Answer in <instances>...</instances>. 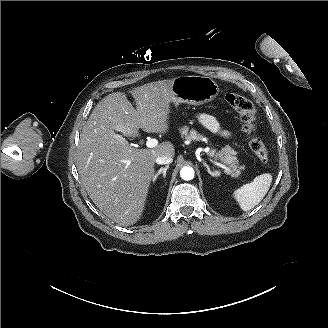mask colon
I'll list each match as a JSON object with an SVG mask.
<instances>
[{
    "mask_svg": "<svg viewBox=\"0 0 328 328\" xmlns=\"http://www.w3.org/2000/svg\"><path fill=\"white\" fill-rule=\"evenodd\" d=\"M225 100L238 113L242 131L248 138L251 152L261 162H267L269 152L256 134V111L253 103L248 98L237 93H228L225 96Z\"/></svg>",
    "mask_w": 328,
    "mask_h": 328,
    "instance_id": "1",
    "label": "colon"
}]
</instances>
